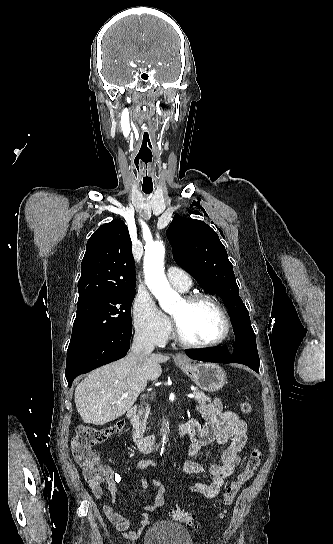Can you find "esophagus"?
<instances>
[{
    "label": "esophagus",
    "mask_w": 333,
    "mask_h": 544,
    "mask_svg": "<svg viewBox=\"0 0 333 544\" xmlns=\"http://www.w3.org/2000/svg\"><path fill=\"white\" fill-rule=\"evenodd\" d=\"M175 359L179 360V361H184L185 360V358L181 354H176Z\"/></svg>",
    "instance_id": "34e87169"
}]
</instances>
